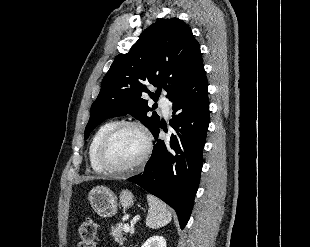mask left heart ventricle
I'll return each mask as SVG.
<instances>
[{"instance_id": "1", "label": "left heart ventricle", "mask_w": 310, "mask_h": 247, "mask_svg": "<svg viewBox=\"0 0 310 247\" xmlns=\"http://www.w3.org/2000/svg\"><path fill=\"white\" fill-rule=\"evenodd\" d=\"M143 149L142 133L135 128H124L109 142L104 152V160L110 167H125L135 162Z\"/></svg>"}]
</instances>
